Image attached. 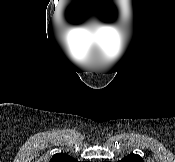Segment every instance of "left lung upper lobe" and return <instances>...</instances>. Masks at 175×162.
Returning <instances> with one entry per match:
<instances>
[{"label":"left lung upper lobe","instance_id":"1","mask_svg":"<svg viewBox=\"0 0 175 162\" xmlns=\"http://www.w3.org/2000/svg\"><path fill=\"white\" fill-rule=\"evenodd\" d=\"M109 162V161H106ZM118 162H144L143 159L137 154H130L124 157L122 160Z\"/></svg>","mask_w":175,"mask_h":162}]
</instances>
